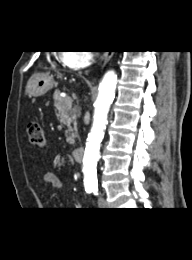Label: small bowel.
<instances>
[{"label": "small bowel", "mask_w": 192, "mask_h": 260, "mask_svg": "<svg viewBox=\"0 0 192 260\" xmlns=\"http://www.w3.org/2000/svg\"><path fill=\"white\" fill-rule=\"evenodd\" d=\"M45 185L51 189H58L62 186V180L61 178L53 171L48 170L43 177Z\"/></svg>", "instance_id": "obj_1"}]
</instances>
